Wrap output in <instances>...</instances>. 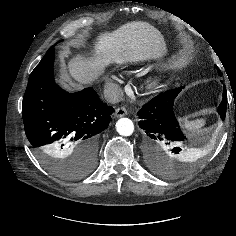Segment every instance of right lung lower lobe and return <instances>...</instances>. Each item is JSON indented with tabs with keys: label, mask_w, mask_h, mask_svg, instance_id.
<instances>
[{
	"label": "right lung lower lobe",
	"mask_w": 236,
	"mask_h": 236,
	"mask_svg": "<svg viewBox=\"0 0 236 236\" xmlns=\"http://www.w3.org/2000/svg\"><path fill=\"white\" fill-rule=\"evenodd\" d=\"M54 47L30 74L22 102L26 136L45 154H65L74 145L78 160L96 162L98 134L106 129L114 109L99 99L91 87L68 93L55 82Z\"/></svg>",
	"instance_id": "obj_1"
}]
</instances>
